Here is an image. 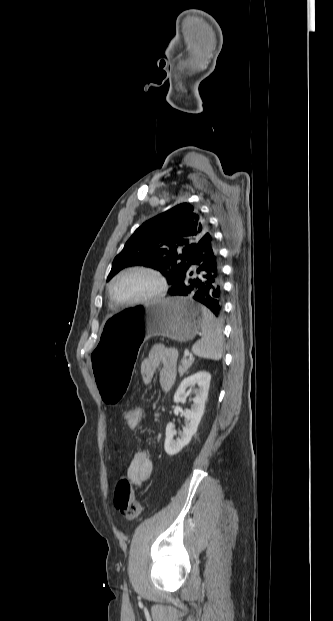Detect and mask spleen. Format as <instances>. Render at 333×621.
I'll return each instance as SVG.
<instances>
[{
	"label": "spleen",
	"mask_w": 333,
	"mask_h": 621,
	"mask_svg": "<svg viewBox=\"0 0 333 621\" xmlns=\"http://www.w3.org/2000/svg\"><path fill=\"white\" fill-rule=\"evenodd\" d=\"M201 331L203 337L193 345V353L199 358L220 360L223 354L222 324L205 307H203Z\"/></svg>",
	"instance_id": "1"
}]
</instances>
